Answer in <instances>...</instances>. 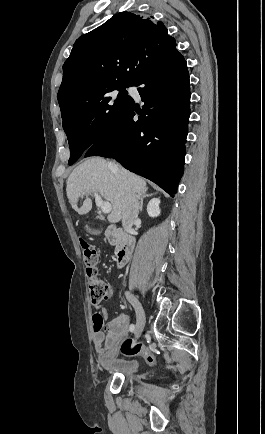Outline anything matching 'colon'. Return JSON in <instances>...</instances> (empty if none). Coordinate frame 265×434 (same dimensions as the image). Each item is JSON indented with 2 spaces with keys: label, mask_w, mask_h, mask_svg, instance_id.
<instances>
[{
  "label": "colon",
  "mask_w": 265,
  "mask_h": 434,
  "mask_svg": "<svg viewBox=\"0 0 265 434\" xmlns=\"http://www.w3.org/2000/svg\"><path fill=\"white\" fill-rule=\"evenodd\" d=\"M79 246L83 254L84 264L89 269L87 283L89 286V298L93 305H99L111 298L112 286L103 281L97 275L99 255L97 249L85 239L79 240ZM91 324L93 327H104L106 324L103 314H94ZM121 351L131 356H142L148 364L155 365L156 359L150 351L141 343L127 339L121 346Z\"/></svg>",
  "instance_id": "obj_1"
}]
</instances>
